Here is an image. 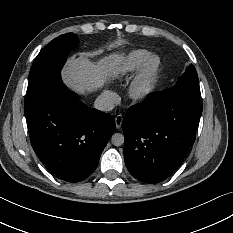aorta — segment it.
Listing matches in <instances>:
<instances>
[{
	"mask_svg": "<svg viewBox=\"0 0 233 233\" xmlns=\"http://www.w3.org/2000/svg\"><path fill=\"white\" fill-rule=\"evenodd\" d=\"M111 143L114 146H121L124 143V136L120 133H115L111 137Z\"/></svg>",
	"mask_w": 233,
	"mask_h": 233,
	"instance_id": "aorta-1",
	"label": "aorta"
}]
</instances>
